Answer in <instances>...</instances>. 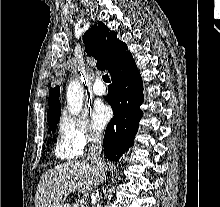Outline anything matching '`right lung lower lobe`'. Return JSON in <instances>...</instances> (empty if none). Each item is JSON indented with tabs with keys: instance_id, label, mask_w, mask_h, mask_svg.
Masks as SVG:
<instances>
[{
	"instance_id": "right-lung-lower-lobe-1",
	"label": "right lung lower lobe",
	"mask_w": 220,
	"mask_h": 207,
	"mask_svg": "<svg viewBox=\"0 0 220 207\" xmlns=\"http://www.w3.org/2000/svg\"><path fill=\"white\" fill-rule=\"evenodd\" d=\"M111 79L106 100L114 118L107 125L103 146L106 157L117 161L132 145L142 117V79L130 52L113 67Z\"/></svg>"
}]
</instances>
